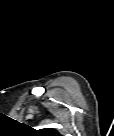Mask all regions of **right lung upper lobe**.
Masks as SVG:
<instances>
[{"label":"right lung upper lobe","instance_id":"cb5924a9","mask_svg":"<svg viewBox=\"0 0 114 136\" xmlns=\"http://www.w3.org/2000/svg\"><path fill=\"white\" fill-rule=\"evenodd\" d=\"M40 132H42L45 135H50V136L58 135V132L55 129H50V128L41 129Z\"/></svg>","mask_w":114,"mask_h":136}]
</instances>
